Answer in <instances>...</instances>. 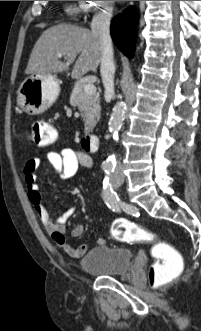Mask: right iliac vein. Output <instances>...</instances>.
<instances>
[{"instance_id":"obj_1","label":"right iliac vein","mask_w":201,"mask_h":331,"mask_svg":"<svg viewBox=\"0 0 201 331\" xmlns=\"http://www.w3.org/2000/svg\"><path fill=\"white\" fill-rule=\"evenodd\" d=\"M114 184H115L116 187L121 186V182H119V181H115Z\"/></svg>"}]
</instances>
